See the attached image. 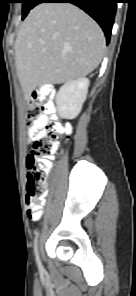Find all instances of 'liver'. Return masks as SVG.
<instances>
[{
	"mask_svg": "<svg viewBox=\"0 0 136 296\" xmlns=\"http://www.w3.org/2000/svg\"><path fill=\"white\" fill-rule=\"evenodd\" d=\"M105 37L99 25L70 3H41L22 23L15 62L25 97L43 84H61L91 73L100 64Z\"/></svg>",
	"mask_w": 136,
	"mask_h": 296,
	"instance_id": "liver-1",
	"label": "liver"
}]
</instances>
